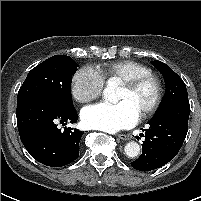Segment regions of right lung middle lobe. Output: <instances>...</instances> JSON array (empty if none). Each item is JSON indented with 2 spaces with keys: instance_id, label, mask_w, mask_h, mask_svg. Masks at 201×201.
<instances>
[{
  "instance_id": "right-lung-middle-lobe-1",
  "label": "right lung middle lobe",
  "mask_w": 201,
  "mask_h": 201,
  "mask_svg": "<svg viewBox=\"0 0 201 201\" xmlns=\"http://www.w3.org/2000/svg\"><path fill=\"white\" fill-rule=\"evenodd\" d=\"M78 64L69 56L55 55L33 68L19 89L17 103L34 96L49 97L71 108L70 86Z\"/></svg>"
}]
</instances>
